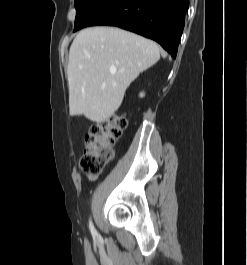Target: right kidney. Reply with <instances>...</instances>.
<instances>
[{
    "label": "right kidney",
    "instance_id": "1",
    "mask_svg": "<svg viewBox=\"0 0 247 265\" xmlns=\"http://www.w3.org/2000/svg\"><path fill=\"white\" fill-rule=\"evenodd\" d=\"M144 96V93H140V97H143Z\"/></svg>",
    "mask_w": 247,
    "mask_h": 265
}]
</instances>
